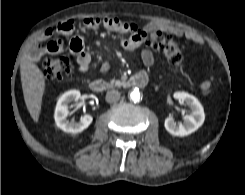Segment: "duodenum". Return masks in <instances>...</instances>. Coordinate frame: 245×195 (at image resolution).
<instances>
[{
	"mask_svg": "<svg viewBox=\"0 0 245 195\" xmlns=\"http://www.w3.org/2000/svg\"><path fill=\"white\" fill-rule=\"evenodd\" d=\"M148 84V76L145 72H138L128 78L126 81L122 82L121 84L115 86L110 84L104 80H94L90 83V89L94 92H104L106 90H110L116 87H138L143 88Z\"/></svg>",
	"mask_w": 245,
	"mask_h": 195,
	"instance_id": "1",
	"label": "duodenum"
}]
</instances>
